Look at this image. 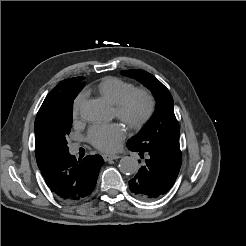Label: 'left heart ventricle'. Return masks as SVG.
Masks as SVG:
<instances>
[{
	"instance_id": "1",
	"label": "left heart ventricle",
	"mask_w": 246,
	"mask_h": 246,
	"mask_svg": "<svg viewBox=\"0 0 246 246\" xmlns=\"http://www.w3.org/2000/svg\"><path fill=\"white\" fill-rule=\"evenodd\" d=\"M144 110H145V101L139 98L133 103L130 114L133 117H137L141 115L144 112Z\"/></svg>"
}]
</instances>
